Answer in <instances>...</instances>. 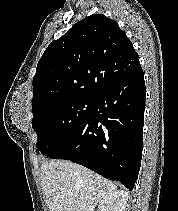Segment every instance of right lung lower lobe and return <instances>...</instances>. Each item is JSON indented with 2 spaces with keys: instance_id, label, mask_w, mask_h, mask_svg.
<instances>
[{
  "instance_id": "98d812e1",
  "label": "right lung lower lobe",
  "mask_w": 178,
  "mask_h": 211,
  "mask_svg": "<svg viewBox=\"0 0 178 211\" xmlns=\"http://www.w3.org/2000/svg\"><path fill=\"white\" fill-rule=\"evenodd\" d=\"M145 97L141 68L95 97L84 123L46 156L78 163L132 190L141 165Z\"/></svg>"
}]
</instances>
